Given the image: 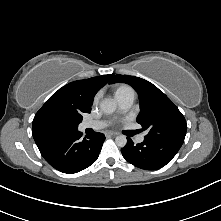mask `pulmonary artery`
Wrapping results in <instances>:
<instances>
[{
    "mask_svg": "<svg viewBox=\"0 0 221 221\" xmlns=\"http://www.w3.org/2000/svg\"><path fill=\"white\" fill-rule=\"evenodd\" d=\"M117 102L119 105V108L122 112L128 111L133 102H134V94H128L122 97L117 98ZM107 125L106 121L98 120V121H85L81 124V129H88L92 128L95 130L102 129ZM144 140V135H139L137 137L138 142H143Z\"/></svg>",
    "mask_w": 221,
    "mask_h": 221,
    "instance_id": "1",
    "label": "pulmonary artery"
}]
</instances>
